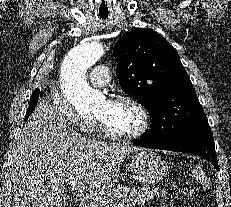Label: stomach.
I'll use <instances>...</instances> for the list:
<instances>
[{"label": "stomach", "mask_w": 231, "mask_h": 207, "mask_svg": "<svg viewBox=\"0 0 231 207\" xmlns=\"http://www.w3.org/2000/svg\"><path fill=\"white\" fill-rule=\"evenodd\" d=\"M130 169L139 182L156 184L166 176L168 165L155 152L142 149L131 156Z\"/></svg>", "instance_id": "1"}]
</instances>
